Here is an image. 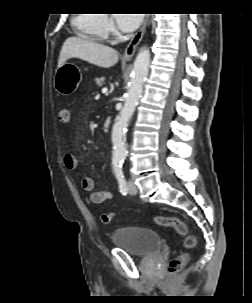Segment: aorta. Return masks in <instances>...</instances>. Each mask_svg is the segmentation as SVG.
Listing matches in <instances>:
<instances>
[{
    "mask_svg": "<svg viewBox=\"0 0 252 303\" xmlns=\"http://www.w3.org/2000/svg\"><path fill=\"white\" fill-rule=\"evenodd\" d=\"M149 63L150 51L146 48H141L134 61L124 106L116 118L112 130L113 165H121L127 156L128 151L125 143L126 128L142 95L143 86L148 75Z\"/></svg>",
    "mask_w": 252,
    "mask_h": 303,
    "instance_id": "obj_1",
    "label": "aorta"
}]
</instances>
